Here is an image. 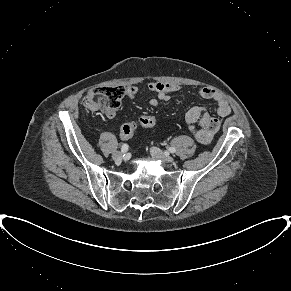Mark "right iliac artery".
Segmentation results:
<instances>
[{
    "instance_id": "1",
    "label": "right iliac artery",
    "mask_w": 291,
    "mask_h": 291,
    "mask_svg": "<svg viewBox=\"0 0 291 291\" xmlns=\"http://www.w3.org/2000/svg\"><path fill=\"white\" fill-rule=\"evenodd\" d=\"M128 147L129 146L127 144H123L122 147H121V151L122 152H127L128 151Z\"/></svg>"
}]
</instances>
